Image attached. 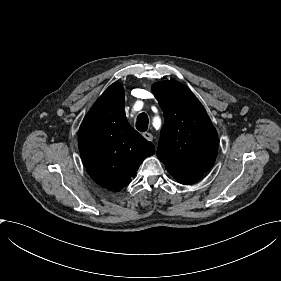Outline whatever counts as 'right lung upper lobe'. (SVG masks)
<instances>
[{
	"mask_svg": "<svg viewBox=\"0 0 281 281\" xmlns=\"http://www.w3.org/2000/svg\"><path fill=\"white\" fill-rule=\"evenodd\" d=\"M124 89L109 86L87 113L78 133V146L86 171L101 187L120 191L131 182L143 160L155 153L127 122Z\"/></svg>",
	"mask_w": 281,
	"mask_h": 281,
	"instance_id": "cb5924a9",
	"label": "right lung upper lobe"
}]
</instances>
